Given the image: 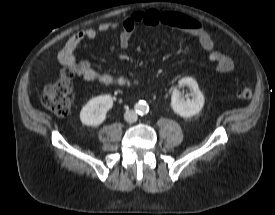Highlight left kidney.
Here are the masks:
<instances>
[{
  "mask_svg": "<svg viewBox=\"0 0 275 215\" xmlns=\"http://www.w3.org/2000/svg\"><path fill=\"white\" fill-rule=\"evenodd\" d=\"M179 86H187L193 91L192 99H184L177 88L172 91L171 107L181 117L188 118L201 111L204 105V96L199 90L198 83L192 77H184L179 80Z\"/></svg>",
  "mask_w": 275,
  "mask_h": 215,
  "instance_id": "left-kidney-1",
  "label": "left kidney"
}]
</instances>
